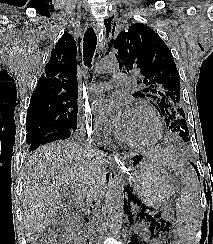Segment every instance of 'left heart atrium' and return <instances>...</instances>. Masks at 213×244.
<instances>
[{"mask_svg": "<svg viewBox=\"0 0 213 244\" xmlns=\"http://www.w3.org/2000/svg\"><path fill=\"white\" fill-rule=\"evenodd\" d=\"M92 109L98 123L116 132L123 128L131 113L124 103L106 98L94 100Z\"/></svg>", "mask_w": 213, "mask_h": 244, "instance_id": "left-heart-atrium-1", "label": "left heart atrium"}]
</instances>
